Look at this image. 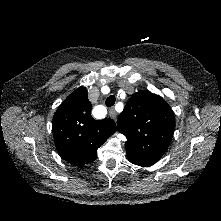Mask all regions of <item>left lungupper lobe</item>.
<instances>
[{
	"instance_id": "left-lung-upper-lobe-1",
	"label": "left lung upper lobe",
	"mask_w": 221,
	"mask_h": 221,
	"mask_svg": "<svg viewBox=\"0 0 221 221\" xmlns=\"http://www.w3.org/2000/svg\"><path fill=\"white\" fill-rule=\"evenodd\" d=\"M117 126L127 138L128 160L139 166H150L166 152L175 130V116L160 96L140 91L127 101Z\"/></svg>"
}]
</instances>
